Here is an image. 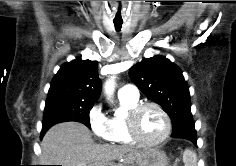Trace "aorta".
<instances>
[{
  "label": "aorta",
  "instance_id": "762f6f07",
  "mask_svg": "<svg viewBox=\"0 0 236 166\" xmlns=\"http://www.w3.org/2000/svg\"><path fill=\"white\" fill-rule=\"evenodd\" d=\"M105 92L109 97L113 94V92H114V81H113V79L106 82ZM115 113H116V115H120L121 113H123V110L118 109V110H116Z\"/></svg>",
  "mask_w": 236,
  "mask_h": 166
}]
</instances>
